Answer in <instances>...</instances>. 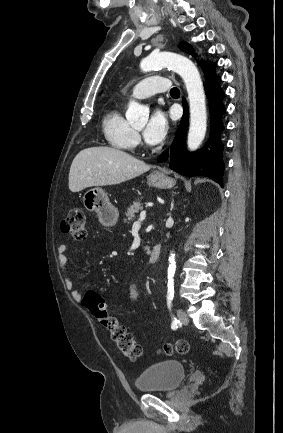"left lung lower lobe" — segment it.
Returning a JSON list of instances; mask_svg holds the SVG:
<instances>
[{
  "label": "left lung lower lobe",
  "instance_id": "obj_1",
  "mask_svg": "<svg viewBox=\"0 0 283 433\" xmlns=\"http://www.w3.org/2000/svg\"><path fill=\"white\" fill-rule=\"evenodd\" d=\"M208 75L205 93L210 102V138L207 145L196 153H189L184 148L185 135L188 124L187 104L183 100L184 115L181 119L177 134L171 145L170 151H164L158 158L163 162L169 158V167L184 176H208L216 183L223 186V149L221 134L224 130L222 117L226 112L223 104L225 93L220 88L221 78L215 75L216 64L205 65Z\"/></svg>",
  "mask_w": 283,
  "mask_h": 433
}]
</instances>
